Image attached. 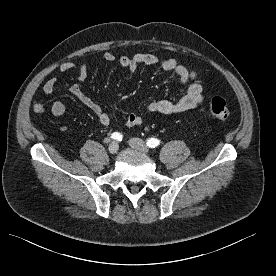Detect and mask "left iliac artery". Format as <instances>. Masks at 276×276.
<instances>
[{
    "instance_id": "1",
    "label": "left iliac artery",
    "mask_w": 276,
    "mask_h": 276,
    "mask_svg": "<svg viewBox=\"0 0 276 276\" xmlns=\"http://www.w3.org/2000/svg\"><path fill=\"white\" fill-rule=\"evenodd\" d=\"M147 146L150 148H155L160 144V140L155 138H149L146 142Z\"/></svg>"
}]
</instances>
